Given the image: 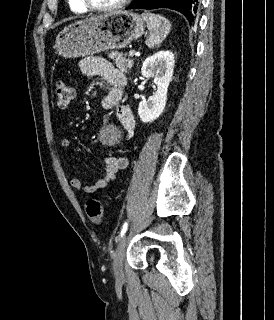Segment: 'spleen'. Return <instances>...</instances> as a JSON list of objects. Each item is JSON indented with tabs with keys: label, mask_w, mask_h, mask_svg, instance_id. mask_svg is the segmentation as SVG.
Masks as SVG:
<instances>
[{
	"label": "spleen",
	"mask_w": 274,
	"mask_h": 320,
	"mask_svg": "<svg viewBox=\"0 0 274 320\" xmlns=\"http://www.w3.org/2000/svg\"><path fill=\"white\" fill-rule=\"evenodd\" d=\"M142 18L146 22L150 32L149 38L146 40L147 46L152 48L156 44H161L169 34L171 26L169 20L163 18V16H158V14H142Z\"/></svg>",
	"instance_id": "spleen-1"
}]
</instances>
